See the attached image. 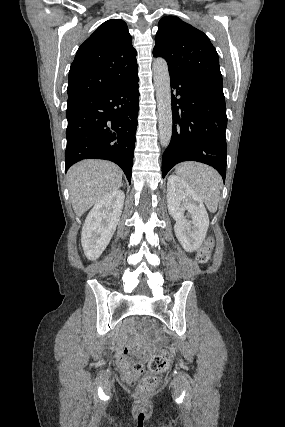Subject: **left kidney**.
<instances>
[{"label":"left kidney","mask_w":285,"mask_h":427,"mask_svg":"<svg viewBox=\"0 0 285 427\" xmlns=\"http://www.w3.org/2000/svg\"><path fill=\"white\" fill-rule=\"evenodd\" d=\"M167 203L169 214L176 221L174 231L178 241L187 252L196 251L202 245L209 227L202 200L189 184L172 174L167 182Z\"/></svg>","instance_id":"obj_1"}]
</instances>
